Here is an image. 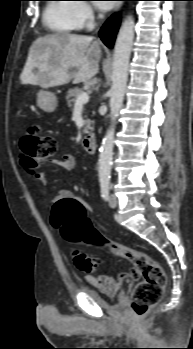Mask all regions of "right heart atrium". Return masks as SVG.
<instances>
[{"label": "right heart atrium", "instance_id": "1", "mask_svg": "<svg viewBox=\"0 0 193 349\" xmlns=\"http://www.w3.org/2000/svg\"><path fill=\"white\" fill-rule=\"evenodd\" d=\"M74 12L80 26H87L94 20V10L87 1L77 0L74 5Z\"/></svg>", "mask_w": 193, "mask_h": 349}]
</instances>
